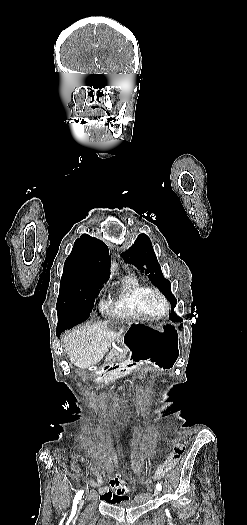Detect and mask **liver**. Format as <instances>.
<instances>
[{"mask_svg": "<svg viewBox=\"0 0 247 525\" xmlns=\"http://www.w3.org/2000/svg\"><path fill=\"white\" fill-rule=\"evenodd\" d=\"M110 337L109 321L77 327L68 333L63 341L69 361L78 369H88L97 365L108 351L107 341Z\"/></svg>", "mask_w": 247, "mask_h": 525, "instance_id": "6515ba94", "label": "liver"}]
</instances>
